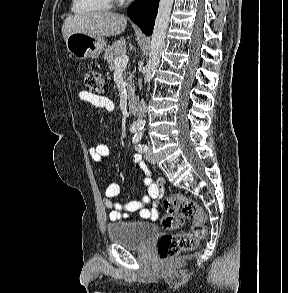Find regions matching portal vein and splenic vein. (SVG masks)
Instances as JSON below:
<instances>
[{
	"label": "portal vein and splenic vein",
	"mask_w": 288,
	"mask_h": 293,
	"mask_svg": "<svg viewBox=\"0 0 288 293\" xmlns=\"http://www.w3.org/2000/svg\"><path fill=\"white\" fill-rule=\"evenodd\" d=\"M129 62V57L124 54L120 57H118L115 61V69H123L127 66Z\"/></svg>",
	"instance_id": "portal-vein-and-splenic-vein-1"
}]
</instances>
